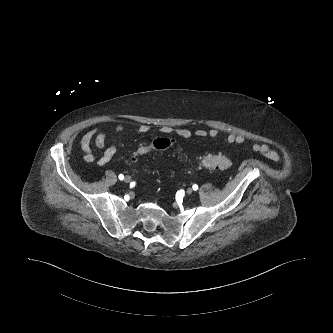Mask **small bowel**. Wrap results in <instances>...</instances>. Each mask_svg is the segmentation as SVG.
<instances>
[{"label":"small bowel","instance_id":"1","mask_svg":"<svg viewBox=\"0 0 333 333\" xmlns=\"http://www.w3.org/2000/svg\"><path fill=\"white\" fill-rule=\"evenodd\" d=\"M125 127L126 126L124 124H118L115 126V128L113 129V140L107 146L101 157L98 159V166L103 167L113 159L117 152V137L125 130ZM148 131L149 126L146 124H141L136 128V132L139 134H146ZM161 133L164 135V137H158L156 139L168 138L171 135H176L181 139H190L192 136H196L199 138L216 139L219 137L220 134L219 130L215 128H211L209 130L199 128L192 131L189 128L175 129L169 126L163 127L161 129ZM107 134V129L102 127H95L83 136V138L81 139V148L84 152L83 160L85 162H92L94 160V155L91 149V142L93 141V139L96 137L105 138ZM245 140L246 138L243 135L236 133H229L224 137V142L229 145H240L243 144ZM253 150L256 152H260L275 161L279 160L280 158L279 154L267 144L255 143L253 145Z\"/></svg>","mask_w":333,"mask_h":333}]
</instances>
